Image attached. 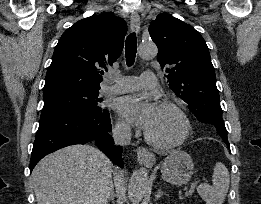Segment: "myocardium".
Segmentation results:
<instances>
[{"instance_id": "obj_1", "label": "myocardium", "mask_w": 261, "mask_h": 204, "mask_svg": "<svg viewBox=\"0 0 261 204\" xmlns=\"http://www.w3.org/2000/svg\"><path fill=\"white\" fill-rule=\"evenodd\" d=\"M156 107L169 108V109L174 110L179 115L180 119L182 120L183 132L178 139H176L172 142L164 143V142L156 141L145 131L144 138H145L146 142L158 149H173V148L178 147L179 145L183 144L188 139V137L191 133V122H190L187 114L185 113V111L182 109L181 106H179L178 104H176L172 101H160L156 104Z\"/></svg>"}]
</instances>
